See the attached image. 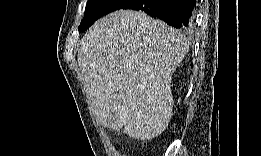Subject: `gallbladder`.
I'll list each match as a JSON object with an SVG mask.
<instances>
[{"instance_id": "1", "label": "gallbladder", "mask_w": 261, "mask_h": 156, "mask_svg": "<svg viewBox=\"0 0 261 156\" xmlns=\"http://www.w3.org/2000/svg\"><path fill=\"white\" fill-rule=\"evenodd\" d=\"M110 107H115V109L111 110L112 113H109V118L112 120L108 122L110 124L109 127H125L126 123H128L125 119L128 117H124L128 114V110H123L127 107H124L123 104H114L110 105Z\"/></svg>"}]
</instances>
